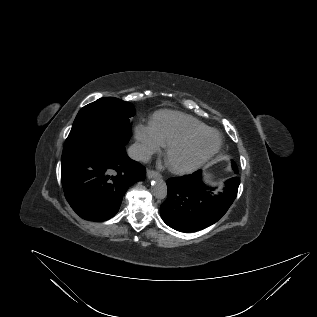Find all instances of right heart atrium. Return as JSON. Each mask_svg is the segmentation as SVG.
<instances>
[{
	"instance_id": "obj_1",
	"label": "right heart atrium",
	"mask_w": 317,
	"mask_h": 317,
	"mask_svg": "<svg viewBox=\"0 0 317 317\" xmlns=\"http://www.w3.org/2000/svg\"><path fill=\"white\" fill-rule=\"evenodd\" d=\"M136 140L135 152L140 159H147L161 149V145L153 134L150 125L139 123L134 129Z\"/></svg>"
}]
</instances>
